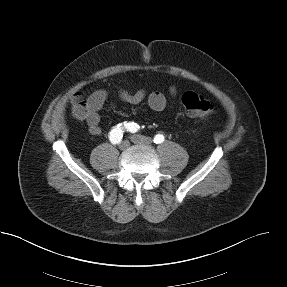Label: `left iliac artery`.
Wrapping results in <instances>:
<instances>
[{
	"mask_svg": "<svg viewBox=\"0 0 287 287\" xmlns=\"http://www.w3.org/2000/svg\"><path fill=\"white\" fill-rule=\"evenodd\" d=\"M127 130L130 131V132H136L137 131V128H139V126L134 123V122H130V123H127ZM154 143L156 144H160L164 141V136L162 134H157L155 137H154Z\"/></svg>",
	"mask_w": 287,
	"mask_h": 287,
	"instance_id": "left-iliac-artery-1",
	"label": "left iliac artery"
}]
</instances>
